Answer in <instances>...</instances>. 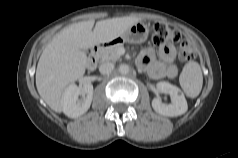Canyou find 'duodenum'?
<instances>
[{"label": "duodenum", "mask_w": 238, "mask_h": 158, "mask_svg": "<svg viewBox=\"0 0 238 158\" xmlns=\"http://www.w3.org/2000/svg\"><path fill=\"white\" fill-rule=\"evenodd\" d=\"M106 45H108L107 43H97L95 44L91 50H90V53H89V57H88V62H87V66L89 69H93L96 67L97 65V62H98V54H99V51L105 47Z\"/></svg>", "instance_id": "obj_1"}]
</instances>
